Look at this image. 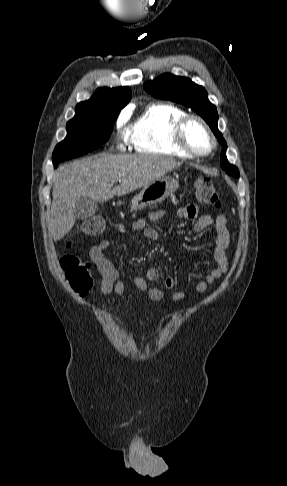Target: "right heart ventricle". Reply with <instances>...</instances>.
<instances>
[{
    "label": "right heart ventricle",
    "mask_w": 287,
    "mask_h": 486,
    "mask_svg": "<svg viewBox=\"0 0 287 486\" xmlns=\"http://www.w3.org/2000/svg\"><path fill=\"white\" fill-rule=\"evenodd\" d=\"M186 112L169 103H153L132 123L126 138L138 153L189 158L174 142V128Z\"/></svg>",
    "instance_id": "obj_1"
}]
</instances>
